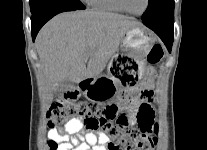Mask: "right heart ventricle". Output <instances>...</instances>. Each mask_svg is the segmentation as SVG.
<instances>
[{
  "label": "right heart ventricle",
  "instance_id": "right-heart-ventricle-1",
  "mask_svg": "<svg viewBox=\"0 0 207 150\" xmlns=\"http://www.w3.org/2000/svg\"><path fill=\"white\" fill-rule=\"evenodd\" d=\"M90 6L94 9L113 12L124 13V10L120 7L117 0H86Z\"/></svg>",
  "mask_w": 207,
  "mask_h": 150
}]
</instances>
